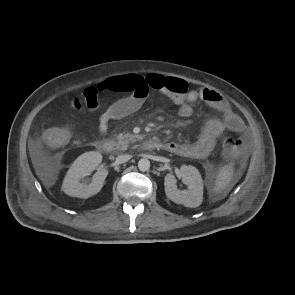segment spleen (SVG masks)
Segmentation results:
<instances>
[{
    "label": "spleen",
    "mask_w": 295,
    "mask_h": 295,
    "mask_svg": "<svg viewBox=\"0 0 295 295\" xmlns=\"http://www.w3.org/2000/svg\"><path fill=\"white\" fill-rule=\"evenodd\" d=\"M232 175L233 167L231 165L224 166L216 177L214 192L222 191L229 184Z\"/></svg>",
    "instance_id": "obj_1"
}]
</instances>
